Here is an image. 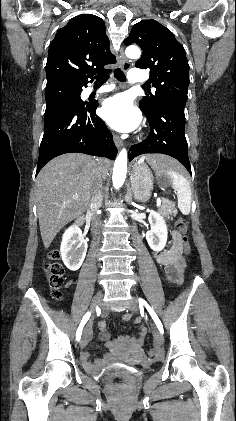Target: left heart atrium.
I'll list each match as a JSON object with an SVG mask.
<instances>
[{
  "label": "left heart atrium",
  "mask_w": 236,
  "mask_h": 421,
  "mask_svg": "<svg viewBox=\"0 0 236 421\" xmlns=\"http://www.w3.org/2000/svg\"><path fill=\"white\" fill-rule=\"evenodd\" d=\"M100 115L110 127L118 131L134 130L141 123L140 114L129 98L123 94L105 99Z\"/></svg>",
  "instance_id": "39dd6f15"
}]
</instances>
